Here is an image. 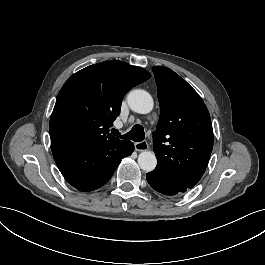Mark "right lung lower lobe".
<instances>
[{
    "mask_svg": "<svg viewBox=\"0 0 265 265\" xmlns=\"http://www.w3.org/2000/svg\"><path fill=\"white\" fill-rule=\"evenodd\" d=\"M133 149V143L128 140L99 144L67 140L51 142L54 160L66 181L85 192L107 183L121 160L131 155Z\"/></svg>",
    "mask_w": 265,
    "mask_h": 265,
    "instance_id": "obj_1",
    "label": "right lung lower lobe"
}]
</instances>
